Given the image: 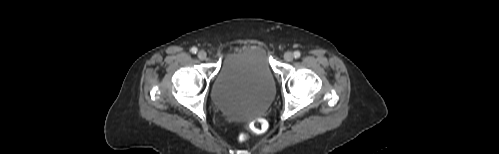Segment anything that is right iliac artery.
<instances>
[{"mask_svg":"<svg viewBox=\"0 0 499 154\" xmlns=\"http://www.w3.org/2000/svg\"><path fill=\"white\" fill-rule=\"evenodd\" d=\"M197 51H198V49H197L196 47H192V48H191V52H192V53L196 54V53H197Z\"/></svg>","mask_w":499,"mask_h":154,"instance_id":"right-iliac-artery-1","label":"right iliac artery"}]
</instances>
